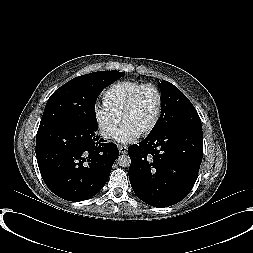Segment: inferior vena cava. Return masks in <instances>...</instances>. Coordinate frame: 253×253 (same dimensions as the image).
<instances>
[{"label": "inferior vena cava", "mask_w": 253, "mask_h": 253, "mask_svg": "<svg viewBox=\"0 0 253 253\" xmlns=\"http://www.w3.org/2000/svg\"><path fill=\"white\" fill-rule=\"evenodd\" d=\"M100 134L104 138H111L114 134V131H113V129H110V128L101 129Z\"/></svg>", "instance_id": "obj_1"}]
</instances>
